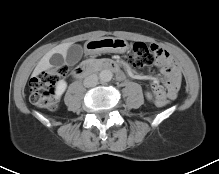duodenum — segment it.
<instances>
[{"mask_svg": "<svg viewBox=\"0 0 219 174\" xmlns=\"http://www.w3.org/2000/svg\"><path fill=\"white\" fill-rule=\"evenodd\" d=\"M99 70H110L117 74L121 73V69L116 62L112 60H103L79 66L75 68L73 75L76 78H83Z\"/></svg>", "mask_w": 219, "mask_h": 174, "instance_id": "obj_1", "label": "duodenum"}]
</instances>
